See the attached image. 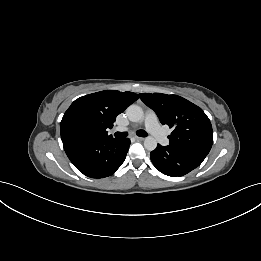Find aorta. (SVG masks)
<instances>
[{
  "instance_id": "762f6f07",
  "label": "aorta",
  "mask_w": 261,
  "mask_h": 261,
  "mask_svg": "<svg viewBox=\"0 0 261 261\" xmlns=\"http://www.w3.org/2000/svg\"><path fill=\"white\" fill-rule=\"evenodd\" d=\"M128 119L132 122H141L144 118V113L141 107L138 105H130L126 110ZM145 149L152 151L157 147V141L154 137L148 136L144 140Z\"/></svg>"
}]
</instances>
